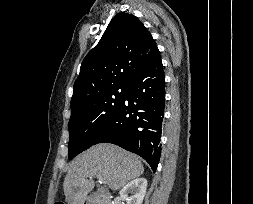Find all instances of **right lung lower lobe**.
Wrapping results in <instances>:
<instances>
[{"mask_svg": "<svg viewBox=\"0 0 253 204\" xmlns=\"http://www.w3.org/2000/svg\"><path fill=\"white\" fill-rule=\"evenodd\" d=\"M164 105L165 76L157 50L128 83L122 105L94 144L110 142L136 153L155 172L161 154Z\"/></svg>", "mask_w": 253, "mask_h": 204, "instance_id": "right-lung-lower-lobe-1", "label": "right lung lower lobe"}]
</instances>
